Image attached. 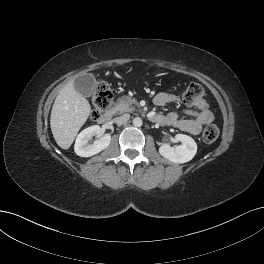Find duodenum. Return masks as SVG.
<instances>
[{
	"label": "duodenum",
	"mask_w": 264,
	"mask_h": 264,
	"mask_svg": "<svg viewBox=\"0 0 264 264\" xmlns=\"http://www.w3.org/2000/svg\"><path fill=\"white\" fill-rule=\"evenodd\" d=\"M113 116H114L113 110L106 111L99 116L98 122L100 124H107L112 120ZM151 120L154 122H158L159 117L157 115H155V116L151 117Z\"/></svg>",
	"instance_id": "duodenum-1"
}]
</instances>
